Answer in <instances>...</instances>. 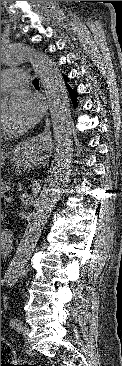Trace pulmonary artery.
Segmentation results:
<instances>
[{"label":"pulmonary artery","mask_w":122,"mask_h":366,"mask_svg":"<svg viewBox=\"0 0 122 366\" xmlns=\"http://www.w3.org/2000/svg\"><path fill=\"white\" fill-rule=\"evenodd\" d=\"M28 73L23 70L5 69L1 71V92L26 85Z\"/></svg>","instance_id":"e3ab8cb5"}]
</instances>
